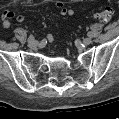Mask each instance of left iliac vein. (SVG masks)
Masks as SVG:
<instances>
[{
  "label": "left iliac vein",
  "mask_w": 119,
  "mask_h": 119,
  "mask_svg": "<svg viewBox=\"0 0 119 119\" xmlns=\"http://www.w3.org/2000/svg\"><path fill=\"white\" fill-rule=\"evenodd\" d=\"M83 43H84L85 45H89V44L92 43V39H91V38H85V39H83Z\"/></svg>",
  "instance_id": "4c4485c4"
}]
</instances>
